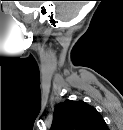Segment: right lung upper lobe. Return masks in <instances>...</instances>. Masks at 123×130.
<instances>
[{
    "mask_svg": "<svg viewBox=\"0 0 123 130\" xmlns=\"http://www.w3.org/2000/svg\"><path fill=\"white\" fill-rule=\"evenodd\" d=\"M64 109L63 119L66 123H71L70 116L74 126L82 129L94 128L101 121L96 110L82 101H66L61 106Z\"/></svg>",
    "mask_w": 123,
    "mask_h": 130,
    "instance_id": "1",
    "label": "right lung upper lobe"
}]
</instances>
